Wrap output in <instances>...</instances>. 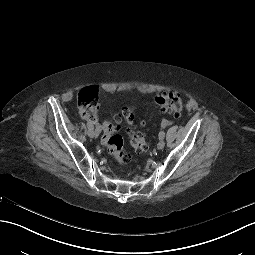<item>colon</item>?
Listing matches in <instances>:
<instances>
[{
  "label": "colon",
  "instance_id": "colon-1",
  "mask_svg": "<svg viewBox=\"0 0 255 255\" xmlns=\"http://www.w3.org/2000/svg\"><path fill=\"white\" fill-rule=\"evenodd\" d=\"M154 103L163 111L179 117L183 110L180 96L176 93H159L154 98ZM78 108L80 113L87 119L95 120L98 110V90L96 87H88L78 94ZM126 124L130 127L133 124V110L130 107L124 108L122 112ZM102 144L109 149L115 160L121 165L130 162V155L123 151L122 137L117 133V127L111 121H105L101 127ZM131 146L139 153L147 150L146 140L132 129L128 131Z\"/></svg>",
  "mask_w": 255,
  "mask_h": 255
}]
</instances>
